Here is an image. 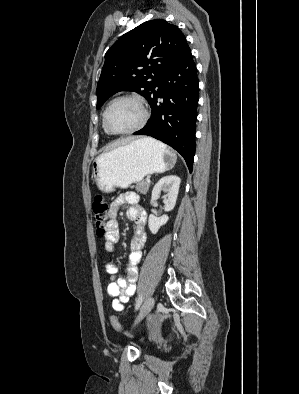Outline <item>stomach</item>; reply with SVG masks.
Here are the masks:
<instances>
[{"label":"stomach","instance_id":"stomach-1","mask_svg":"<svg viewBox=\"0 0 299 394\" xmlns=\"http://www.w3.org/2000/svg\"><path fill=\"white\" fill-rule=\"evenodd\" d=\"M176 154L151 138L120 145L98 156L92 164V179L103 192L127 188L146 175L172 169Z\"/></svg>","mask_w":299,"mask_h":394}]
</instances>
